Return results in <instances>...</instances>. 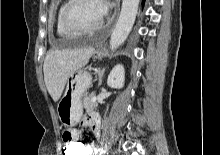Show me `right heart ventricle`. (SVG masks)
Segmentation results:
<instances>
[{
  "label": "right heart ventricle",
  "mask_w": 220,
  "mask_h": 155,
  "mask_svg": "<svg viewBox=\"0 0 220 155\" xmlns=\"http://www.w3.org/2000/svg\"><path fill=\"white\" fill-rule=\"evenodd\" d=\"M67 1H64L58 8L57 13H56V18H55V27H56V33L58 36L63 37V38H74L77 36V34L71 33L67 31L62 23H61V13L62 9L66 5Z\"/></svg>",
  "instance_id": "1"
}]
</instances>
